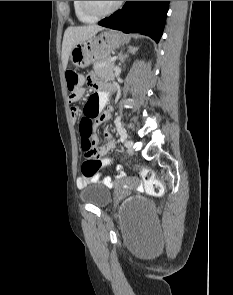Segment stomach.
I'll return each mask as SVG.
<instances>
[{
	"mask_svg": "<svg viewBox=\"0 0 233 295\" xmlns=\"http://www.w3.org/2000/svg\"><path fill=\"white\" fill-rule=\"evenodd\" d=\"M123 44V36L114 30H106L77 43L71 50L74 66L85 68L92 63L110 58L111 52Z\"/></svg>",
	"mask_w": 233,
	"mask_h": 295,
	"instance_id": "1",
	"label": "stomach"
}]
</instances>
